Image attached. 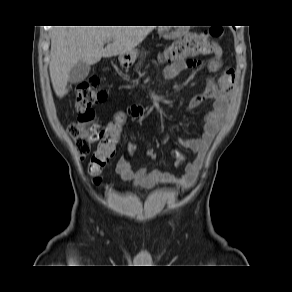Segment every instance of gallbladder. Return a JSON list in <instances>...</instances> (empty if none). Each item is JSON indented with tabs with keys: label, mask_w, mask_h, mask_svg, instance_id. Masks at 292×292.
I'll return each mask as SVG.
<instances>
[{
	"label": "gallbladder",
	"mask_w": 292,
	"mask_h": 292,
	"mask_svg": "<svg viewBox=\"0 0 292 292\" xmlns=\"http://www.w3.org/2000/svg\"><path fill=\"white\" fill-rule=\"evenodd\" d=\"M90 69L89 64L78 62L69 72V82L72 84L82 82L88 76Z\"/></svg>",
	"instance_id": "1"
}]
</instances>
